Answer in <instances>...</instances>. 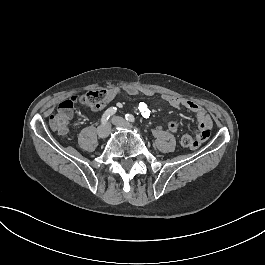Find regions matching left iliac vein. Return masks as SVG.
Wrapping results in <instances>:
<instances>
[{
    "label": "left iliac vein",
    "mask_w": 265,
    "mask_h": 265,
    "mask_svg": "<svg viewBox=\"0 0 265 265\" xmlns=\"http://www.w3.org/2000/svg\"><path fill=\"white\" fill-rule=\"evenodd\" d=\"M112 123L119 126V127L132 128V125L128 121H126L125 119H123L119 116H114L112 118Z\"/></svg>",
    "instance_id": "1"
}]
</instances>
